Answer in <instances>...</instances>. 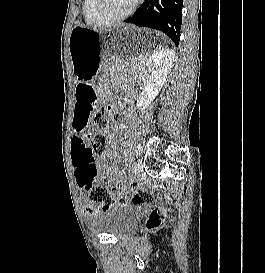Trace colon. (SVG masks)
Returning a JSON list of instances; mask_svg holds the SVG:
<instances>
[{"label": "colon", "mask_w": 265, "mask_h": 273, "mask_svg": "<svg viewBox=\"0 0 265 273\" xmlns=\"http://www.w3.org/2000/svg\"><path fill=\"white\" fill-rule=\"evenodd\" d=\"M77 105L74 106L70 124L75 128V132H86L89 125L94 127V133L90 137L88 145V156L102 155L106 152L108 138L105 131L109 127L111 120V110L98 103L97 94L88 83H80L76 92ZM120 114H113L112 121L119 122ZM97 170L95 168L79 174V183L82 188L89 192L90 200L93 203L108 206L112 204L110 197L111 189L116 187L113 182L105 181L99 185H94ZM119 195H124V190H117ZM152 195L144 189L133 191L132 200L135 204H146L152 201ZM166 210L163 207H155L147 220L148 230L158 229L166 219Z\"/></svg>", "instance_id": "5ec220e1"}]
</instances>
